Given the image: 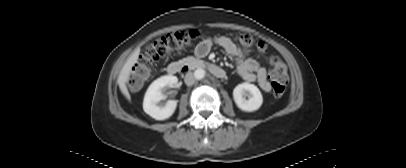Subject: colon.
<instances>
[{
	"instance_id": "obj_1",
	"label": "colon",
	"mask_w": 406,
	"mask_h": 168,
	"mask_svg": "<svg viewBox=\"0 0 406 168\" xmlns=\"http://www.w3.org/2000/svg\"><path fill=\"white\" fill-rule=\"evenodd\" d=\"M199 36L200 34L197 30H185L166 34L154 41L132 67L129 75L130 86L139 88L151 75L158 63L166 60L171 55L182 52ZM236 39L247 52H251L254 49L260 52L265 50L263 43L255 44L252 37L248 34H240L236 36ZM270 77L274 95L281 97L286 91L288 74L286 66L276 58L272 60Z\"/></svg>"
}]
</instances>
